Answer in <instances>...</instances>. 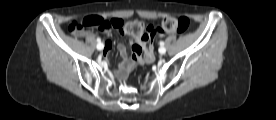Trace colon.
Instances as JSON below:
<instances>
[{"label": "colon", "instance_id": "colon-1", "mask_svg": "<svg viewBox=\"0 0 276 120\" xmlns=\"http://www.w3.org/2000/svg\"><path fill=\"white\" fill-rule=\"evenodd\" d=\"M190 26L191 20L186 16L167 17L162 22V29L152 32L151 28L146 27L141 19H134L127 22H113L112 20H105L99 16H89L82 20H73L70 22L68 32L73 36H78L92 28H97L102 32L118 30L125 36L140 41H146L156 33H184L190 28Z\"/></svg>", "mask_w": 276, "mask_h": 120}]
</instances>
